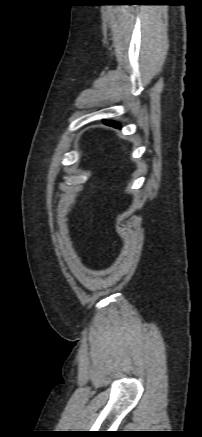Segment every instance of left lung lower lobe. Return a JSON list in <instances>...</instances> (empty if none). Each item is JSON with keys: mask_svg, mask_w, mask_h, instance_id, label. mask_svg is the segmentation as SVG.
I'll use <instances>...</instances> for the list:
<instances>
[{"mask_svg": "<svg viewBox=\"0 0 202 437\" xmlns=\"http://www.w3.org/2000/svg\"><path fill=\"white\" fill-rule=\"evenodd\" d=\"M104 123L108 124L110 126H113V127L121 128L120 124L118 122H115V121H104Z\"/></svg>", "mask_w": 202, "mask_h": 437, "instance_id": "obj_1", "label": "left lung lower lobe"}]
</instances>
